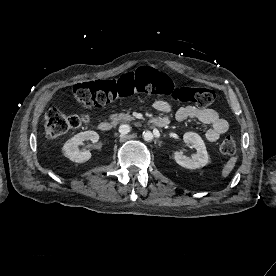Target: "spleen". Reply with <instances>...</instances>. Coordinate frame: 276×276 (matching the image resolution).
Listing matches in <instances>:
<instances>
[{
	"label": "spleen",
	"mask_w": 276,
	"mask_h": 276,
	"mask_svg": "<svg viewBox=\"0 0 276 276\" xmlns=\"http://www.w3.org/2000/svg\"><path fill=\"white\" fill-rule=\"evenodd\" d=\"M236 161H237L236 157H232L227 161V163L224 165V167L221 171L222 178H226L231 173V171L235 167Z\"/></svg>",
	"instance_id": "1"
}]
</instances>
